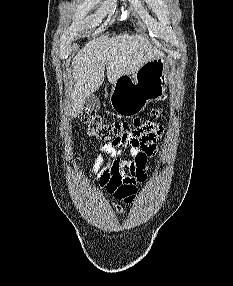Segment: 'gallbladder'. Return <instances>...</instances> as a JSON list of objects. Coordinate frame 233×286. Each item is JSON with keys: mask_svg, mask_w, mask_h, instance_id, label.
<instances>
[{"mask_svg": "<svg viewBox=\"0 0 233 286\" xmlns=\"http://www.w3.org/2000/svg\"><path fill=\"white\" fill-rule=\"evenodd\" d=\"M85 106L90 110L96 111L100 108V100L95 94H91L86 97Z\"/></svg>", "mask_w": 233, "mask_h": 286, "instance_id": "bac80fb5", "label": "gallbladder"}]
</instances>
